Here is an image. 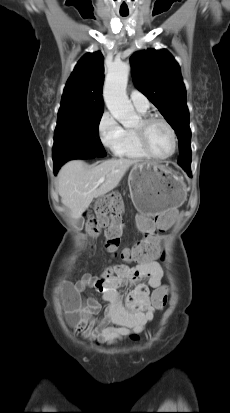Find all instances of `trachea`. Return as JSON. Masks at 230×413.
<instances>
[{"label": "trachea", "mask_w": 230, "mask_h": 413, "mask_svg": "<svg viewBox=\"0 0 230 413\" xmlns=\"http://www.w3.org/2000/svg\"><path fill=\"white\" fill-rule=\"evenodd\" d=\"M121 16L125 17V16H128V14H124V13H122V14H121Z\"/></svg>", "instance_id": "trachea-1"}]
</instances>
